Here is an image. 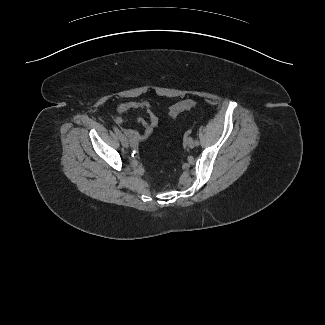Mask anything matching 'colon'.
Masks as SVG:
<instances>
[{
  "mask_svg": "<svg viewBox=\"0 0 325 325\" xmlns=\"http://www.w3.org/2000/svg\"><path fill=\"white\" fill-rule=\"evenodd\" d=\"M196 106V102L193 101V100H183V101H180L176 104H174L171 108H170V116L173 118V119H176L177 116L184 110H188V109H191L193 107Z\"/></svg>",
  "mask_w": 325,
  "mask_h": 325,
  "instance_id": "obj_1",
  "label": "colon"
}]
</instances>
